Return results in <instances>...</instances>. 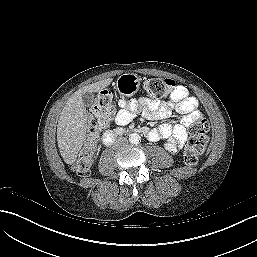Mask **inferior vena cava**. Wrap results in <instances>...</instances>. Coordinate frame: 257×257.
Here are the masks:
<instances>
[{"label":"inferior vena cava","instance_id":"1","mask_svg":"<svg viewBox=\"0 0 257 257\" xmlns=\"http://www.w3.org/2000/svg\"><path fill=\"white\" fill-rule=\"evenodd\" d=\"M127 144H128L127 138H125V137H118L115 140L113 147L114 148H121V147H123V146H125Z\"/></svg>","mask_w":257,"mask_h":257}]
</instances>
